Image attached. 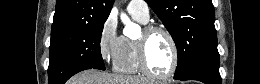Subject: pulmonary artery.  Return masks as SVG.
<instances>
[{
    "label": "pulmonary artery",
    "instance_id": "obj_1",
    "mask_svg": "<svg viewBox=\"0 0 260 84\" xmlns=\"http://www.w3.org/2000/svg\"><path fill=\"white\" fill-rule=\"evenodd\" d=\"M127 9L132 16H136L143 22L149 19V8L145 1H131Z\"/></svg>",
    "mask_w": 260,
    "mask_h": 84
}]
</instances>
